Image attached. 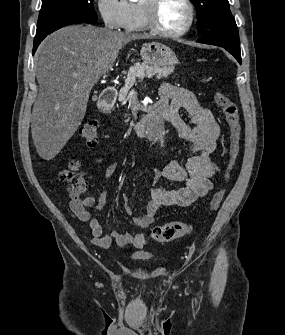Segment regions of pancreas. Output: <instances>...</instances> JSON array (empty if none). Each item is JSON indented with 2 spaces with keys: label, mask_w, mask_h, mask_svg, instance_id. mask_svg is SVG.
I'll return each instance as SVG.
<instances>
[{
  "label": "pancreas",
  "mask_w": 285,
  "mask_h": 335,
  "mask_svg": "<svg viewBox=\"0 0 285 335\" xmlns=\"http://www.w3.org/2000/svg\"><path fill=\"white\" fill-rule=\"evenodd\" d=\"M173 66H156V64H135V66H131L130 71H128L127 76L124 79V86L120 87L121 93H130L133 90V84H141L142 78L146 76V74H154V76L158 79V81H165L166 77L170 72H173ZM147 79H150V76H147ZM130 116V114H128ZM133 117H136V114H133Z\"/></svg>",
  "instance_id": "cf45deb5"
}]
</instances>
